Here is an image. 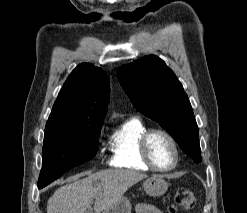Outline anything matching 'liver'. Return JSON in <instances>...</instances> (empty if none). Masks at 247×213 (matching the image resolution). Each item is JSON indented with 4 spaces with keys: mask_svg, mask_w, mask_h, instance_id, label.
<instances>
[{
    "mask_svg": "<svg viewBox=\"0 0 247 213\" xmlns=\"http://www.w3.org/2000/svg\"><path fill=\"white\" fill-rule=\"evenodd\" d=\"M61 186L49 198L47 213H85L95 200L94 211L101 213L114 205L134 184L147 177L131 170H103Z\"/></svg>",
    "mask_w": 247,
    "mask_h": 213,
    "instance_id": "liver-1",
    "label": "liver"
}]
</instances>
